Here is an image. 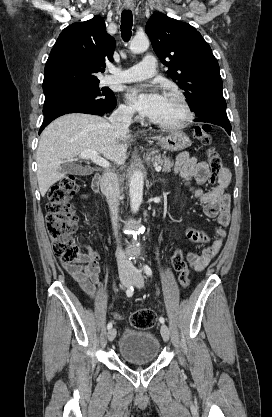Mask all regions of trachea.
Returning a JSON list of instances; mask_svg holds the SVG:
<instances>
[{
  "mask_svg": "<svg viewBox=\"0 0 272 417\" xmlns=\"http://www.w3.org/2000/svg\"><path fill=\"white\" fill-rule=\"evenodd\" d=\"M133 24V15L131 10H124L121 14V34L125 42L131 38V28Z\"/></svg>",
  "mask_w": 272,
  "mask_h": 417,
  "instance_id": "1",
  "label": "trachea"
}]
</instances>
